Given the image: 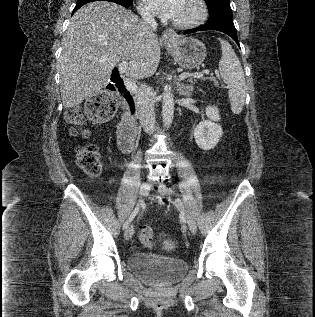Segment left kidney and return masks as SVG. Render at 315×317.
<instances>
[{
    "label": "left kidney",
    "instance_id": "left-kidney-1",
    "mask_svg": "<svg viewBox=\"0 0 315 317\" xmlns=\"http://www.w3.org/2000/svg\"><path fill=\"white\" fill-rule=\"evenodd\" d=\"M208 120L200 122L194 130L196 144L202 150H211L219 142L223 135L222 128L218 122L220 120L219 110L215 106L206 107Z\"/></svg>",
    "mask_w": 315,
    "mask_h": 317
}]
</instances>
